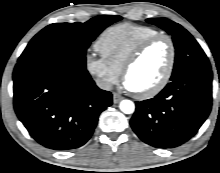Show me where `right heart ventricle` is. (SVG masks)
<instances>
[{
  "label": "right heart ventricle",
  "instance_id": "e07e8e85",
  "mask_svg": "<svg viewBox=\"0 0 220 173\" xmlns=\"http://www.w3.org/2000/svg\"><path fill=\"white\" fill-rule=\"evenodd\" d=\"M159 31L146 25L122 23L105 30L96 42L101 56L120 72L134 49Z\"/></svg>",
  "mask_w": 220,
  "mask_h": 173
}]
</instances>
